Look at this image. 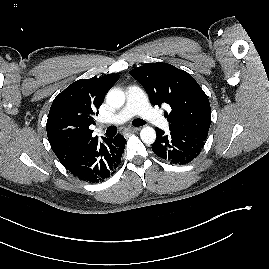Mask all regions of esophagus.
<instances>
[{
	"label": "esophagus",
	"instance_id": "esophagus-1",
	"mask_svg": "<svg viewBox=\"0 0 269 269\" xmlns=\"http://www.w3.org/2000/svg\"><path fill=\"white\" fill-rule=\"evenodd\" d=\"M140 129L139 128H128L126 131L128 132V133H136V132H138Z\"/></svg>",
	"mask_w": 269,
	"mask_h": 269
}]
</instances>
